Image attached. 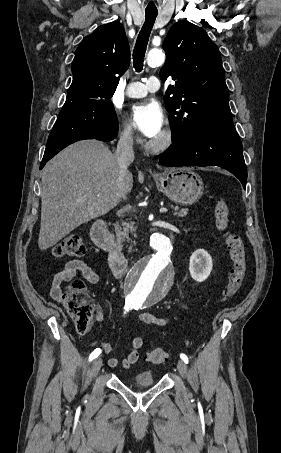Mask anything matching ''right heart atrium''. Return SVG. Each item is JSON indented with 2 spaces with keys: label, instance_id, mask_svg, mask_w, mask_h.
<instances>
[{
  "label": "right heart atrium",
  "instance_id": "obj_1",
  "mask_svg": "<svg viewBox=\"0 0 281 453\" xmlns=\"http://www.w3.org/2000/svg\"><path fill=\"white\" fill-rule=\"evenodd\" d=\"M118 136L120 141L125 145H131L137 137V133L133 125L127 121H122L118 124ZM117 165H112V170H117Z\"/></svg>",
  "mask_w": 281,
  "mask_h": 453
}]
</instances>
